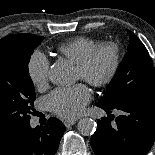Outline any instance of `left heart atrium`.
<instances>
[{"label":"left heart atrium","mask_w":155,"mask_h":155,"mask_svg":"<svg viewBox=\"0 0 155 155\" xmlns=\"http://www.w3.org/2000/svg\"><path fill=\"white\" fill-rule=\"evenodd\" d=\"M90 99L89 89L83 84H77L69 88L55 89L46 97V102L52 112L71 119L83 112Z\"/></svg>","instance_id":"obj_1"}]
</instances>
